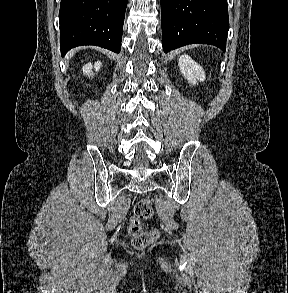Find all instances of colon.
Masks as SVG:
<instances>
[{"instance_id":"colon-1","label":"colon","mask_w":288,"mask_h":293,"mask_svg":"<svg viewBox=\"0 0 288 293\" xmlns=\"http://www.w3.org/2000/svg\"><path fill=\"white\" fill-rule=\"evenodd\" d=\"M152 214L153 204L151 199L144 198L135 204L130 219L129 235L136 249H143L158 238L157 230H143L140 226V222L149 219Z\"/></svg>"}]
</instances>
